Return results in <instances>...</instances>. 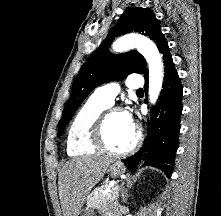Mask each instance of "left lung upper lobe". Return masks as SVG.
<instances>
[{
    "mask_svg": "<svg viewBox=\"0 0 221 216\" xmlns=\"http://www.w3.org/2000/svg\"><path fill=\"white\" fill-rule=\"evenodd\" d=\"M138 32L154 40L158 49L167 42L161 32L160 23L153 12L147 8L130 7L112 27L101 46L95 50L74 79L70 98L58 125V137L78 107L96 87L109 81L123 80L128 74L148 72L144 57L136 50L112 55L108 46L116 36Z\"/></svg>",
    "mask_w": 221,
    "mask_h": 216,
    "instance_id": "5c2ea615",
    "label": "left lung upper lobe"
}]
</instances>
